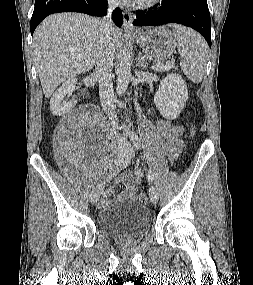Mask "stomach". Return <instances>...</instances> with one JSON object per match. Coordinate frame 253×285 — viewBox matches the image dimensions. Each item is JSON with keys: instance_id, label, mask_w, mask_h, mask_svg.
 <instances>
[{"instance_id": "0dacf381", "label": "stomach", "mask_w": 253, "mask_h": 285, "mask_svg": "<svg viewBox=\"0 0 253 285\" xmlns=\"http://www.w3.org/2000/svg\"><path fill=\"white\" fill-rule=\"evenodd\" d=\"M135 39L147 55L159 62L170 58L176 51L173 34L163 26L140 31Z\"/></svg>"}]
</instances>
